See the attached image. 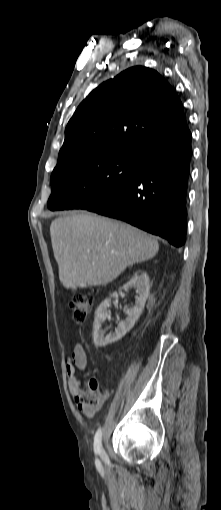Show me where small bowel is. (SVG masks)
<instances>
[{"label":"small bowel","instance_id":"obj_1","mask_svg":"<svg viewBox=\"0 0 221 510\" xmlns=\"http://www.w3.org/2000/svg\"><path fill=\"white\" fill-rule=\"evenodd\" d=\"M87 355L84 347L80 343H76L73 347L72 353L66 363V372L68 376L69 391L77 408L88 418L93 417L97 410H88L81 402L82 381L76 375L77 370L85 371L87 368Z\"/></svg>","mask_w":221,"mask_h":510}]
</instances>
